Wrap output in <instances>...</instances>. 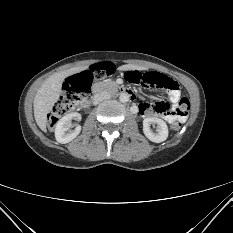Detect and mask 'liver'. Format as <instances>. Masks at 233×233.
Returning <instances> with one entry per match:
<instances>
[{"mask_svg": "<svg viewBox=\"0 0 233 233\" xmlns=\"http://www.w3.org/2000/svg\"><path fill=\"white\" fill-rule=\"evenodd\" d=\"M84 69L85 67H74L59 73H55L47 78L37 90L33 101V109L35 121L41 130H46L47 114L51 112L54 104L59 99L63 81L67 77ZM118 69L122 71H129L137 69L142 70L143 68L132 64H127L120 66Z\"/></svg>", "mask_w": 233, "mask_h": 233, "instance_id": "liver-1", "label": "liver"}]
</instances>
